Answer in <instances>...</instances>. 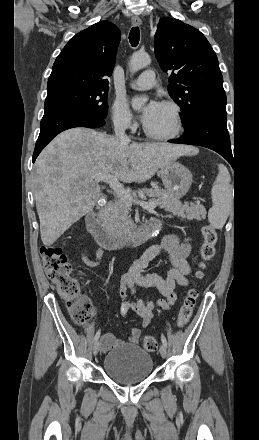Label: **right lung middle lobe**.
Instances as JSON below:
<instances>
[{"label":"right lung middle lobe","mask_w":259,"mask_h":440,"mask_svg":"<svg viewBox=\"0 0 259 440\" xmlns=\"http://www.w3.org/2000/svg\"><path fill=\"white\" fill-rule=\"evenodd\" d=\"M108 89L70 88L47 94L44 116L61 112H81L105 119Z\"/></svg>","instance_id":"1"}]
</instances>
